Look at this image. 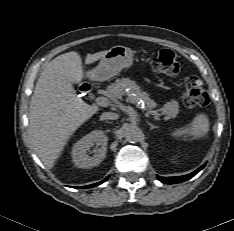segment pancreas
I'll return each instance as SVG.
<instances>
[{
	"mask_svg": "<svg viewBox=\"0 0 234 231\" xmlns=\"http://www.w3.org/2000/svg\"><path fill=\"white\" fill-rule=\"evenodd\" d=\"M126 89H129L128 98L131 101L143 100L148 109L157 107V104L149 98L148 94L142 91L134 81L128 78L117 79L115 83L107 87V93L112 99H121L122 96L126 94ZM159 111H161V115H165V120L175 118L179 113L178 102L174 100L167 102Z\"/></svg>",
	"mask_w": 234,
	"mask_h": 231,
	"instance_id": "1",
	"label": "pancreas"
}]
</instances>
